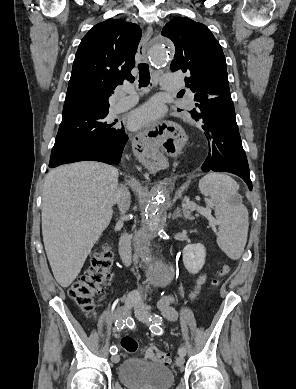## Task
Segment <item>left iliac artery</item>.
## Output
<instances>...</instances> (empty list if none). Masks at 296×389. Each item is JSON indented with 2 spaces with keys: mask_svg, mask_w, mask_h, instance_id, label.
<instances>
[{
  "mask_svg": "<svg viewBox=\"0 0 296 389\" xmlns=\"http://www.w3.org/2000/svg\"><path fill=\"white\" fill-rule=\"evenodd\" d=\"M149 321L152 322V325H150L151 332L157 335L162 334V328H160V325L162 324V317L159 315H153L149 318ZM178 354L185 356L186 350L183 346L178 349Z\"/></svg>",
  "mask_w": 296,
  "mask_h": 389,
  "instance_id": "44dca946",
  "label": "left iliac artery"
}]
</instances>
